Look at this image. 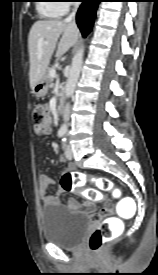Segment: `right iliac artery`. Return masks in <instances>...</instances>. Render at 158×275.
<instances>
[{
  "label": "right iliac artery",
  "instance_id": "82829eb1",
  "mask_svg": "<svg viewBox=\"0 0 158 275\" xmlns=\"http://www.w3.org/2000/svg\"><path fill=\"white\" fill-rule=\"evenodd\" d=\"M64 134H65V132H64V131H59V132H58V136H59V137L64 136Z\"/></svg>",
  "mask_w": 158,
  "mask_h": 275
}]
</instances>
